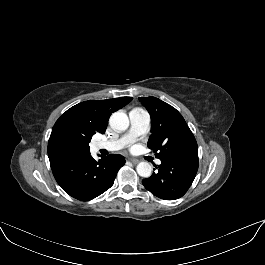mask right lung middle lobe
Instances as JSON below:
<instances>
[{
    "label": "right lung middle lobe",
    "instance_id": "1",
    "mask_svg": "<svg viewBox=\"0 0 265 265\" xmlns=\"http://www.w3.org/2000/svg\"><path fill=\"white\" fill-rule=\"evenodd\" d=\"M91 137L74 136L70 138V144L84 155L89 154V145Z\"/></svg>",
    "mask_w": 265,
    "mask_h": 265
}]
</instances>
